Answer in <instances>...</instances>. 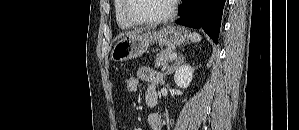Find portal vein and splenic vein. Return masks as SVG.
<instances>
[{
	"instance_id": "18ae733b",
	"label": "portal vein and splenic vein",
	"mask_w": 299,
	"mask_h": 130,
	"mask_svg": "<svg viewBox=\"0 0 299 130\" xmlns=\"http://www.w3.org/2000/svg\"><path fill=\"white\" fill-rule=\"evenodd\" d=\"M177 57V53H173L170 57L171 60H174ZM166 69V67H163L162 70Z\"/></svg>"
}]
</instances>
